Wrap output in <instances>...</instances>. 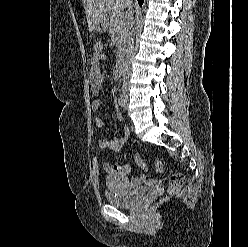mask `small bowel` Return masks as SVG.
Here are the masks:
<instances>
[{"label": "small bowel", "mask_w": 248, "mask_h": 247, "mask_svg": "<svg viewBox=\"0 0 248 247\" xmlns=\"http://www.w3.org/2000/svg\"><path fill=\"white\" fill-rule=\"evenodd\" d=\"M105 54L101 51L93 53L89 61V75H90V88L95 98L91 102V110L96 112L100 109L102 105V98L100 96V91L103 83V75L101 73L100 61L105 59ZM117 119L122 120V116L117 114ZM94 124L96 127H102L104 121L100 117L94 119ZM129 136V129L124 128L122 131V136L114 138L112 140H103L100 142V148L104 151H117L122 148L126 139ZM105 170L109 173H120L126 175L129 172V167L127 165H112L110 163L105 164ZM126 184L129 187H136L145 181V175L139 174L128 179L125 176Z\"/></svg>", "instance_id": "obj_1"}]
</instances>
